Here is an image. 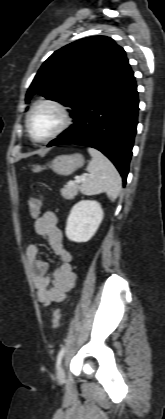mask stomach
Masks as SVG:
<instances>
[{"label": "stomach", "instance_id": "1", "mask_svg": "<svg viewBox=\"0 0 165 419\" xmlns=\"http://www.w3.org/2000/svg\"><path fill=\"white\" fill-rule=\"evenodd\" d=\"M84 164V158L81 154L75 153L70 155H60L57 156L52 162L48 165L55 173L60 175H70L78 168L82 167ZM45 167L34 166L33 172H40Z\"/></svg>", "mask_w": 165, "mask_h": 419}]
</instances>
